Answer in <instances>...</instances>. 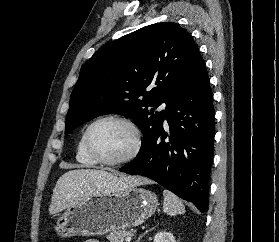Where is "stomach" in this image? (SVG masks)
<instances>
[{
	"label": "stomach",
	"instance_id": "0dacf381",
	"mask_svg": "<svg viewBox=\"0 0 279 242\" xmlns=\"http://www.w3.org/2000/svg\"><path fill=\"white\" fill-rule=\"evenodd\" d=\"M157 205L153 192L136 186L99 193L68 207L57 218L54 229L61 238L101 236L141 225L155 212Z\"/></svg>",
	"mask_w": 279,
	"mask_h": 242
}]
</instances>
